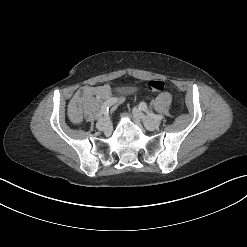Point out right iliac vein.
<instances>
[{
  "mask_svg": "<svg viewBox=\"0 0 247 247\" xmlns=\"http://www.w3.org/2000/svg\"><path fill=\"white\" fill-rule=\"evenodd\" d=\"M96 127L100 131L108 132L111 128L109 118L106 116L105 118L99 120L96 124Z\"/></svg>",
  "mask_w": 247,
  "mask_h": 247,
  "instance_id": "obj_1",
  "label": "right iliac vein"
}]
</instances>
